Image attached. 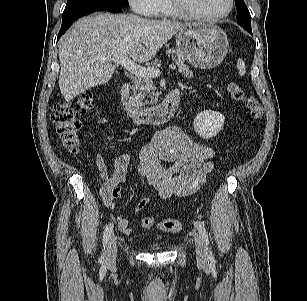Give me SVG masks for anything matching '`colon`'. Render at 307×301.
I'll list each match as a JSON object with an SVG mask.
<instances>
[{"instance_id": "colon-1", "label": "colon", "mask_w": 307, "mask_h": 301, "mask_svg": "<svg viewBox=\"0 0 307 301\" xmlns=\"http://www.w3.org/2000/svg\"><path fill=\"white\" fill-rule=\"evenodd\" d=\"M228 90L231 97L249 110L253 120L262 118L263 109L257 99L246 93L243 86L237 82H230ZM93 104V94L90 91L80 93L69 101L58 103L52 113V121L57 129L58 135L66 149L71 153H77L80 148L79 131L81 122L79 117L86 113ZM142 227L146 229L158 228L168 233H178L182 230V223L178 219H163L159 222L152 217L142 220Z\"/></svg>"}]
</instances>
